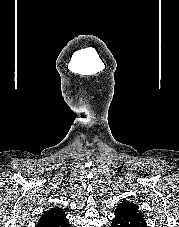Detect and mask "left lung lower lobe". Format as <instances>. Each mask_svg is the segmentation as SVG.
I'll use <instances>...</instances> for the list:
<instances>
[{
    "instance_id": "left-lung-lower-lobe-1",
    "label": "left lung lower lobe",
    "mask_w": 179,
    "mask_h": 227,
    "mask_svg": "<svg viewBox=\"0 0 179 227\" xmlns=\"http://www.w3.org/2000/svg\"><path fill=\"white\" fill-rule=\"evenodd\" d=\"M111 227H115L113 223H112Z\"/></svg>"
}]
</instances>
